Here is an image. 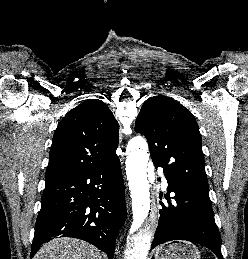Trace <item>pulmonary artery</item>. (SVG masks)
<instances>
[{
  "label": "pulmonary artery",
  "mask_w": 248,
  "mask_h": 259,
  "mask_svg": "<svg viewBox=\"0 0 248 259\" xmlns=\"http://www.w3.org/2000/svg\"><path fill=\"white\" fill-rule=\"evenodd\" d=\"M167 185H168V184H167V180H166L165 178H163V186H164V187H167Z\"/></svg>",
  "instance_id": "obj_1"
}]
</instances>
